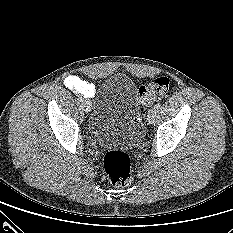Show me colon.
<instances>
[{
    "label": "colon",
    "instance_id": "1",
    "mask_svg": "<svg viewBox=\"0 0 233 233\" xmlns=\"http://www.w3.org/2000/svg\"><path fill=\"white\" fill-rule=\"evenodd\" d=\"M167 77H157L139 89L138 99L143 106H149L169 89ZM103 169L108 181L115 187H124L132 180V166L129 155L122 150H109L103 158Z\"/></svg>",
    "mask_w": 233,
    "mask_h": 233
}]
</instances>
